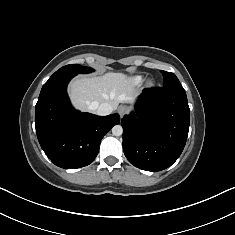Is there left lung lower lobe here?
I'll return each mask as SVG.
<instances>
[{
    "label": "left lung lower lobe",
    "instance_id": "obj_1",
    "mask_svg": "<svg viewBox=\"0 0 235 235\" xmlns=\"http://www.w3.org/2000/svg\"><path fill=\"white\" fill-rule=\"evenodd\" d=\"M135 112L121 120L123 151L131 164L146 171L171 166L186 144L190 110L181 85L145 89Z\"/></svg>",
    "mask_w": 235,
    "mask_h": 235
}]
</instances>
